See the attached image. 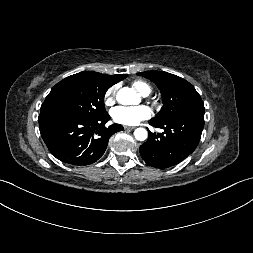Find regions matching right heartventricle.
I'll return each instance as SVG.
<instances>
[{"label":"right heart ventricle","mask_w":253,"mask_h":253,"mask_svg":"<svg viewBox=\"0 0 253 253\" xmlns=\"http://www.w3.org/2000/svg\"><path fill=\"white\" fill-rule=\"evenodd\" d=\"M132 86L142 95H148L152 88L151 85L142 79H136L132 82Z\"/></svg>","instance_id":"1"}]
</instances>
